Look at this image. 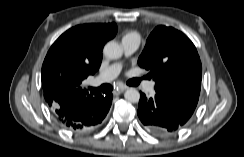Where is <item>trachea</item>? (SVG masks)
Wrapping results in <instances>:
<instances>
[{
    "label": "trachea",
    "mask_w": 244,
    "mask_h": 157,
    "mask_svg": "<svg viewBox=\"0 0 244 157\" xmlns=\"http://www.w3.org/2000/svg\"><path fill=\"white\" fill-rule=\"evenodd\" d=\"M141 79H135L133 80L134 85H138L140 83ZM113 90V87L110 84H103L99 88H90V92L92 94H96L97 92H102V93H109Z\"/></svg>",
    "instance_id": "1"
}]
</instances>
